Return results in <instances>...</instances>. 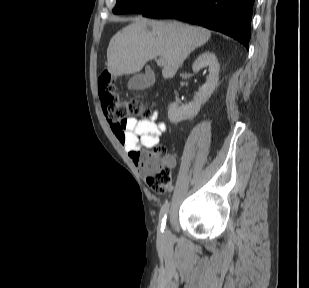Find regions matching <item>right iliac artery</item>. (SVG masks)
<instances>
[{"label": "right iliac artery", "mask_w": 309, "mask_h": 288, "mask_svg": "<svg viewBox=\"0 0 309 288\" xmlns=\"http://www.w3.org/2000/svg\"><path fill=\"white\" fill-rule=\"evenodd\" d=\"M169 211V203L165 202L159 214V231L163 233L166 226L167 213Z\"/></svg>", "instance_id": "right-iliac-artery-1"}]
</instances>
